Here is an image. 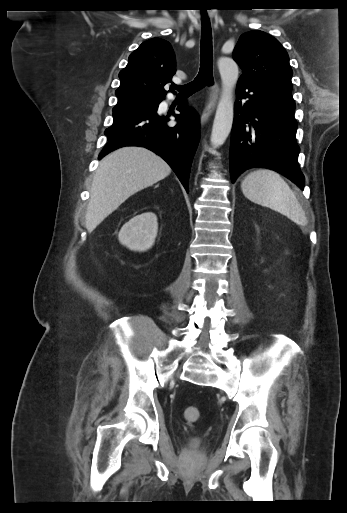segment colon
I'll return each instance as SVG.
<instances>
[{"mask_svg": "<svg viewBox=\"0 0 347 513\" xmlns=\"http://www.w3.org/2000/svg\"><path fill=\"white\" fill-rule=\"evenodd\" d=\"M184 417L189 424H196L201 420V411L193 406H189L184 411Z\"/></svg>", "mask_w": 347, "mask_h": 513, "instance_id": "obj_1", "label": "colon"}]
</instances>
